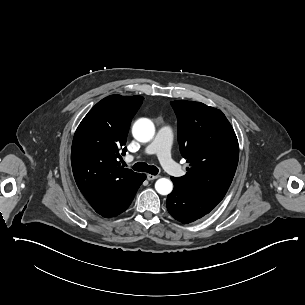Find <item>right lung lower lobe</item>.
Here are the masks:
<instances>
[{
    "mask_svg": "<svg viewBox=\"0 0 305 305\" xmlns=\"http://www.w3.org/2000/svg\"><path fill=\"white\" fill-rule=\"evenodd\" d=\"M145 178H146V175L141 174V176L139 178V182L137 184H135L131 189L125 191L122 195L118 196L110 203L103 205L94 210L103 217H114V216L121 214L131 204L138 188L140 187L142 182L145 180Z\"/></svg>",
    "mask_w": 305,
    "mask_h": 305,
    "instance_id": "98d812e1",
    "label": "right lung lower lobe"
}]
</instances>
